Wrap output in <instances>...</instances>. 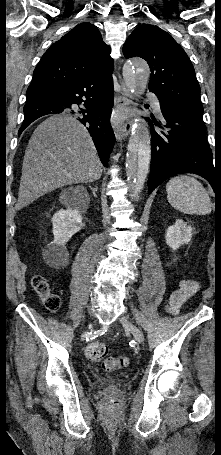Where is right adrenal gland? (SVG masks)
Masks as SVG:
<instances>
[{
  "label": "right adrenal gland",
  "instance_id": "right-adrenal-gland-1",
  "mask_svg": "<svg viewBox=\"0 0 221 455\" xmlns=\"http://www.w3.org/2000/svg\"><path fill=\"white\" fill-rule=\"evenodd\" d=\"M90 189L92 190V193H93L94 197H97V195H96V191L98 189L97 186L95 188L90 186Z\"/></svg>",
  "mask_w": 221,
  "mask_h": 455
}]
</instances>
